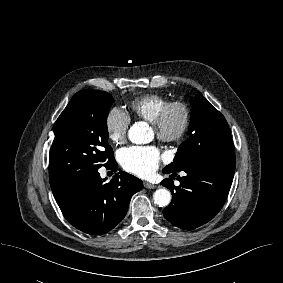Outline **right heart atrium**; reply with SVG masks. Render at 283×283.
Wrapping results in <instances>:
<instances>
[{
    "label": "right heart atrium",
    "mask_w": 283,
    "mask_h": 283,
    "mask_svg": "<svg viewBox=\"0 0 283 283\" xmlns=\"http://www.w3.org/2000/svg\"><path fill=\"white\" fill-rule=\"evenodd\" d=\"M130 124L129 116L118 108H112L105 120L107 136L114 144L125 142L126 134Z\"/></svg>",
    "instance_id": "1"
}]
</instances>
